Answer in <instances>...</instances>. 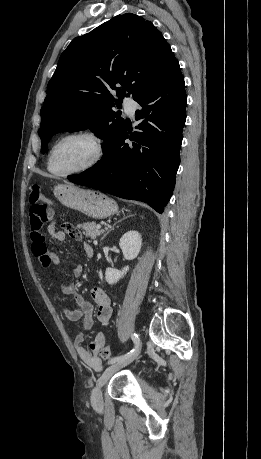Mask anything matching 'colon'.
I'll return each mask as SVG.
<instances>
[{
    "label": "colon",
    "instance_id": "obj_1",
    "mask_svg": "<svg viewBox=\"0 0 261 459\" xmlns=\"http://www.w3.org/2000/svg\"><path fill=\"white\" fill-rule=\"evenodd\" d=\"M30 216L28 220L30 234H35L37 238L44 236V231L41 229L44 223L53 219L52 202L42 192L40 185L34 184L29 195ZM62 227L73 237L80 236L79 231L70 224H63ZM100 355L103 360H110L112 357L111 348L105 345L101 348Z\"/></svg>",
    "mask_w": 261,
    "mask_h": 459
}]
</instances>
